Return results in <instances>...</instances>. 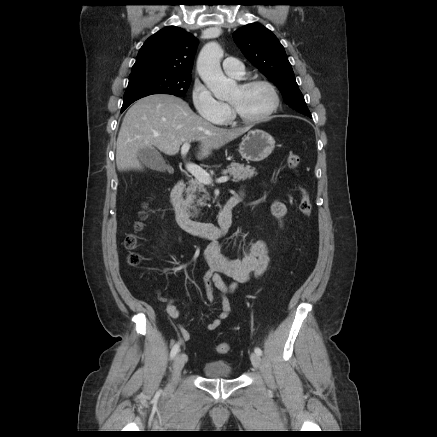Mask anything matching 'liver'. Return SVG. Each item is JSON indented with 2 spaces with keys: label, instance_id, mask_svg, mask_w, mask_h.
Segmentation results:
<instances>
[{
  "label": "liver",
  "instance_id": "1",
  "mask_svg": "<svg viewBox=\"0 0 437 437\" xmlns=\"http://www.w3.org/2000/svg\"><path fill=\"white\" fill-rule=\"evenodd\" d=\"M248 130L217 127L173 95H150L134 103L123 118L116 143V166L119 171L142 170L139 150L156 147L172 156L183 143L194 140L200 142L201 160Z\"/></svg>",
  "mask_w": 437,
  "mask_h": 437
}]
</instances>
